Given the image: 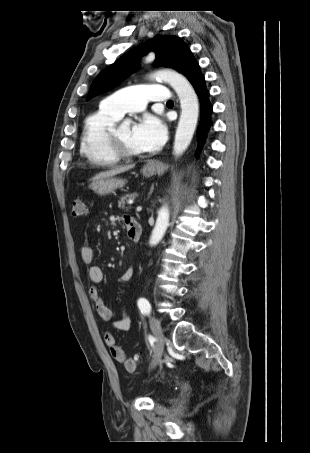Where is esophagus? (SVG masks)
Instances as JSON below:
<instances>
[{"label": "esophagus", "instance_id": "34e87169", "mask_svg": "<svg viewBox=\"0 0 310 453\" xmlns=\"http://www.w3.org/2000/svg\"><path fill=\"white\" fill-rule=\"evenodd\" d=\"M148 166H149V167H158V166H159V162H157V161L149 162V163H148Z\"/></svg>", "mask_w": 310, "mask_h": 453}]
</instances>
